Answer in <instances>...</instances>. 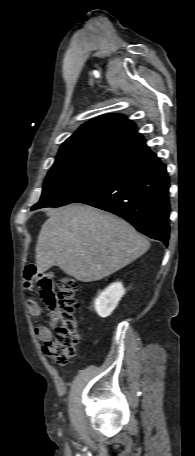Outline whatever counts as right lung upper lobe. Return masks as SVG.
<instances>
[{
	"label": "right lung upper lobe",
	"instance_id": "1",
	"mask_svg": "<svg viewBox=\"0 0 195 456\" xmlns=\"http://www.w3.org/2000/svg\"><path fill=\"white\" fill-rule=\"evenodd\" d=\"M135 128L120 114L90 120L62 144L54 164L92 161L124 169L153 154Z\"/></svg>",
	"mask_w": 195,
	"mask_h": 456
}]
</instances>
